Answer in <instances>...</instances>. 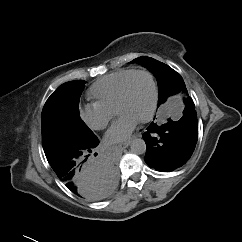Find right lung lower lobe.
<instances>
[{"mask_svg": "<svg viewBox=\"0 0 242 242\" xmlns=\"http://www.w3.org/2000/svg\"><path fill=\"white\" fill-rule=\"evenodd\" d=\"M98 143L96 137L87 145L70 148L47 159L71 192L93 201L107 197L117 185V170L111 160L89 158Z\"/></svg>", "mask_w": 242, "mask_h": 242, "instance_id": "right-lung-lower-lobe-1", "label": "right lung lower lobe"}]
</instances>
